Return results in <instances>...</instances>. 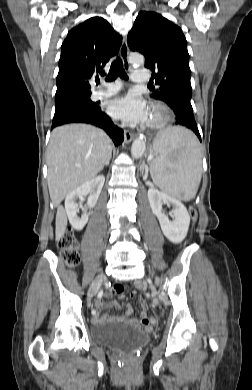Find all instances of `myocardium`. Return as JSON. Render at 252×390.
<instances>
[{
  "label": "myocardium",
  "instance_id": "f54148a6",
  "mask_svg": "<svg viewBox=\"0 0 252 390\" xmlns=\"http://www.w3.org/2000/svg\"><path fill=\"white\" fill-rule=\"evenodd\" d=\"M151 111L157 114V118L147 123V128L158 130L167 125L171 118L170 108L161 102H155L151 105Z\"/></svg>",
  "mask_w": 252,
  "mask_h": 390
}]
</instances>
